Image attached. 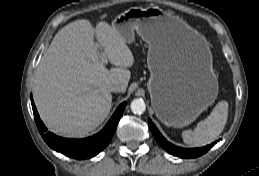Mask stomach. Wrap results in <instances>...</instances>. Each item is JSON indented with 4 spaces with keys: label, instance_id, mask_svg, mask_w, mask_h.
<instances>
[{
    "label": "stomach",
    "instance_id": "0dacf381",
    "mask_svg": "<svg viewBox=\"0 0 259 176\" xmlns=\"http://www.w3.org/2000/svg\"><path fill=\"white\" fill-rule=\"evenodd\" d=\"M111 26L127 44L135 31L148 44L147 87L155 114L165 125L187 126L214 103L218 81L210 52L182 20L158 7H131Z\"/></svg>",
    "mask_w": 259,
    "mask_h": 176
}]
</instances>
